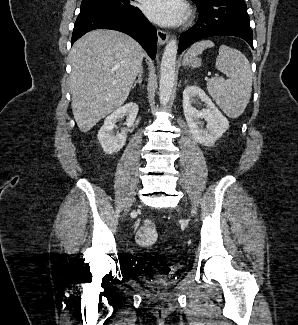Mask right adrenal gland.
Masks as SVG:
<instances>
[{
  "label": "right adrenal gland",
  "instance_id": "2a0ac1e0",
  "mask_svg": "<svg viewBox=\"0 0 298 325\" xmlns=\"http://www.w3.org/2000/svg\"><path fill=\"white\" fill-rule=\"evenodd\" d=\"M142 74H143V68H140V70L138 72V78H136V80H134L132 88H134V86H136L137 82H139V84H141Z\"/></svg>",
  "mask_w": 298,
  "mask_h": 325
}]
</instances>
